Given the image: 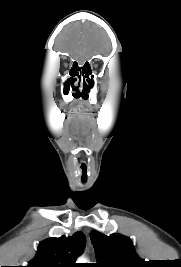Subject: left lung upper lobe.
<instances>
[{
  "instance_id": "1",
  "label": "left lung upper lobe",
  "mask_w": 181,
  "mask_h": 267,
  "mask_svg": "<svg viewBox=\"0 0 181 267\" xmlns=\"http://www.w3.org/2000/svg\"><path fill=\"white\" fill-rule=\"evenodd\" d=\"M96 254L93 267H145L147 262L137 256L133 242L121 234L106 236L98 231L90 233Z\"/></svg>"
}]
</instances>
